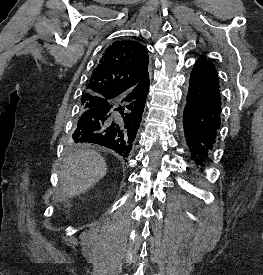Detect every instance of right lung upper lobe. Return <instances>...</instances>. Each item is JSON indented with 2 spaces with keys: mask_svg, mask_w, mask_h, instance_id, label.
Returning <instances> with one entry per match:
<instances>
[{
  "mask_svg": "<svg viewBox=\"0 0 263 275\" xmlns=\"http://www.w3.org/2000/svg\"><path fill=\"white\" fill-rule=\"evenodd\" d=\"M149 56L135 41H115L103 52L86 87V93L103 100L114 94L127 95L128 104L142 112Z\"/></svg>",
  "mask_w": 263,
  "mask_h": 275,
  "instance_id": "obj_1",
  "label": "right lung upper lobe"
}]
</instances>
